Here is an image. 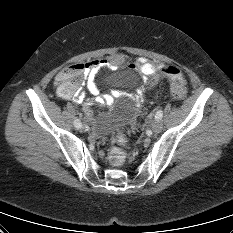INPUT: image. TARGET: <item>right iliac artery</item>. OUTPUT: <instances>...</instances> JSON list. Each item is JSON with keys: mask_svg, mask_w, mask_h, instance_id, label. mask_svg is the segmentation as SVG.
Wrapping results in <instances>:
<instances>
[{"mask_svg": "<svg viewBox=\"0 0 233 233\" xmlns=\"http://www.w3.org/2000/svg\"><path fill=\"white\" fill-rule=\"evenodd\" d=\"M74 126H75L77 129H79V127L82 126V123L80 122L79 119H75V120H74Z\"/></svg>", "mask_w": 233, "mask_h": 233, "instance_id": "82829eb1", "label": "right iliac artery"}]
</instances>
